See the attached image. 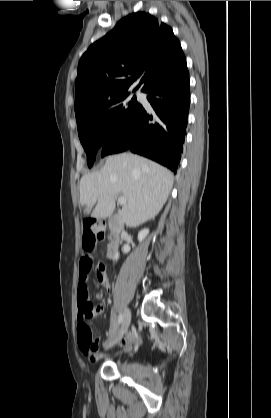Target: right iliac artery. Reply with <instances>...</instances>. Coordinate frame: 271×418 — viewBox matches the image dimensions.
I'll list each match as a JSON object with an SVG mask.
<instances>
[{"instance_id": "82829eb1", "label": "right iliac artery", "mask_w": 271, "mask_h": 418, "mask_svg": "<svg viewBox=\"0 0 271 418\" xmlns=\"http://www.w3.org/2000/svg\"><path fill=\"white\" fill-rule=\"evenodd\" d=\"M122 321H123V315L120 314L119 317H118V325H120L122 323Z\"/></svg>"}]
</instances>
